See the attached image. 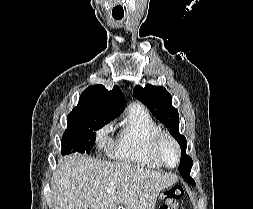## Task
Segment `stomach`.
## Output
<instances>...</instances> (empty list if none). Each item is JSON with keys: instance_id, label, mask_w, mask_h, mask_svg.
Returning a JSON list of instances; mask_svg holds the SVG:
<instances>
[{"instance_id": "stomach-1", "label": "stomach", "mask_w": 253, "mask_h": 209, "mask_svg": "<svg viewBox=\"0 0 253 209\" xmlns=\"http://www.w3.org/2000/svg\"><path fill=\"white\" fill-rule=\"evenodd\" d=\"M167 195H168V189H164L163 194L161 195V198L166 199V202H168V200H169ZM122 205H119L116 209H127L126 207H128L129 204H128V202H123Z\"/></svg>"}]
</instances>
